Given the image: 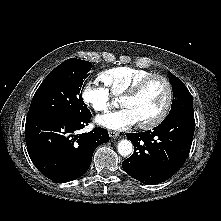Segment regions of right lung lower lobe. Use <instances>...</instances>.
<instances>
[{
  "mask_svg": "<svg viewBox=\"0 0 221 221\" xmlns=\"http://www.w3.org/2000/svg\"><path fill=\"white\" fill-rule=\"evenodd\" d=\"M91 113L76 119L56 116L26 120L25 138L30 158L36 168L56 182H68L90 167L93 151L110 137L99 127L76 134L90 121Z\"/></svg>",
  "mask_w": 221,
  "mask_h": 221,
  "instance_id": "obj_1",
  "label": "right lung lower lobe"
}]
</instances>
